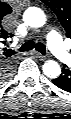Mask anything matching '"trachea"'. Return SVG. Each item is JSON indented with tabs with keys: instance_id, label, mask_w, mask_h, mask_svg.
Returning <instances> with one entry per match:
<instances>
[{
	"instance_id": "obj_1",
	"label": "trachea",
	"mask_w": 71,
	"mask_h": 119,
	"mask_svg": "<svg viewBox=\"0 0 71 119\" xmlns=\"http://www.w3.org/2000/svg\"><path fill=\"white\" fill-rule=\"evenodd\" d=\"M28 46H30V48H33L34 47V44L30 45V44H27ZM36 50L39 51L40 53H43L44 52V48L41 44H36L35 46Z\"/></svg>"
}]
</instances>
